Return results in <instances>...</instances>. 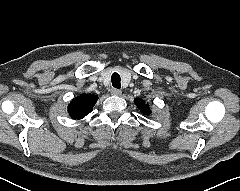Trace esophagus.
I'll return each instance as SVG.
<instances>
[{"label": "esophagus", "mask_w": 240, "mask_h": 191, "mask_svg": "<svg viewBox=\"0 0 240 191\" xmlns=\"http://www.w3.org/2000/svg\"><path fill=\"white\" fill-rule=\"evenodd\" d=\"M111 94L114 96H120L122 94V91L116 88L111 89Z\"/></svg>", "instance_id": "esophagus-1"}]
</instances>
